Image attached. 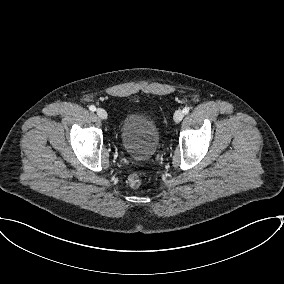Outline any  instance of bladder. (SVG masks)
I'll return each mask as SVG.
<instances>
[{
    "label": "bladder",
    "mask_w": 284,
    "mask_h": 284,
    "mask_svg": "<svg viewBox=\"0 0 284 284\" xmlns=\"http://www.w3.org/2000/svg\"><path fill=\"white\" fill-rule=\"evenodd\" d=\"M120 142L130 157L142 161L149 160L159 147V127L149 115L131 111L121 123Z\"/></svg>",
    "instance_id": "bladder-1"
}]
</instances>
